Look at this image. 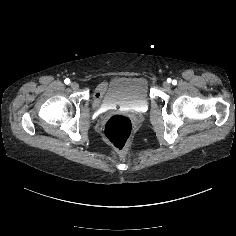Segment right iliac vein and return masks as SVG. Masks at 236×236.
<instances>
[{
	"label": "right iliac vein",
	"instance_id": "63e3f726",
	"mask_svg": "<svg viewBox=\"0 0 236 236\" xmlns=\"http://www.w3.org/2000/svg\"><path fill=\"white\" fill-rule=\"evenodd\" d=\"M70 87L73 89V90H77L79 88V84L77 82H72L70 84Z\"/></svg>",
	"mask_w": 236,
	"mask_h": 236
}]
</instances>
